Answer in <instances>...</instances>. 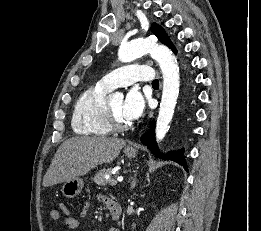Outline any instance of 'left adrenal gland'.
Segmentation results:
<instances>
[{
    "mask_svg": "<svg viewBox=\"0 0 261 231\" xmlns=\"http://www.w3.org/2000/svg\"><path fill=\"white\" fill-rule=\"evenodd\" d=\"M136 176H137V173H135L134 176L131 178L132 182H131L130 190L135 188V186L137 185Z\"/></svg>",
    "mask_w": 261,
    "mask_h": 231,
    "instance_id": "a2214340",
    "label": "left adrenal gland"
}]
</instances>
